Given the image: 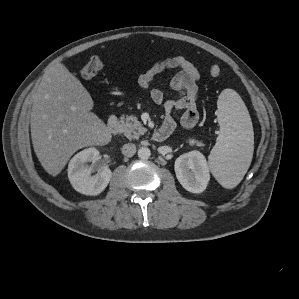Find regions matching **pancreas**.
Returning <instances> with one entry per match:
<instances>
[{"label": "pancreas", "mask_w": 299, "mask_h": 299, "mask_svg": "<svg viewBox=\"0 0 299 299\" xmlns=\"http://www.w3.org/2000/svg\"><path fill=\"white\" fill-rule=\"evenodd\" d=\"M120 123L123 125L124 128V134L129 139H138L141 135H144L147 131L146 128H144L140 121H138V118L134 115L121 117ZM187 143L190 146L196 145L198 147H203L204 144L201 141H198L196 139L190 138Z\"/></svg>", "instance_id": "pancreas-1"}]
</instances>
